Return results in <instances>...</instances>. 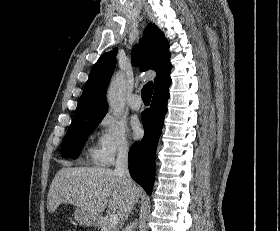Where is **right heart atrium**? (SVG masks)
I'll use <instances>...</instances> for the list:
<instances>
[{"label": "right heart atrium", "mask_w": 280, "mask_h": 231, "mask_svg": "<svg viewBox=\"0 0 280 231\" xmlns=\"http://www.w3.org/2000/svg\"><path fill=\"white\" fill-rule=\"evenodd\" d=\"M101 129L96 148L97 160L102 164H111L117 155L130 150L131 142L123 126L114 119L102 120Z\"/></svg>", "instance_id": "right-heart-atrium-1"}]
</instances>
